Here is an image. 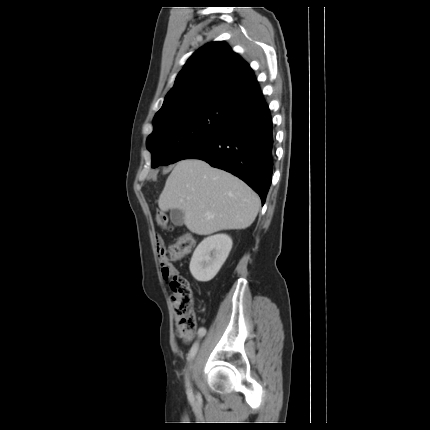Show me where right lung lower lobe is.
<instances>
[{"label":"right lung lower lobe","mask_w":430,"mask_h":430,"mask_svg":"<svg viewBox=\"0 0 430 430\" xmlns=\"http://www.w3.org/2000/svg\"><path fill=\"white\" fill-rule=\"evenodd\" d=\"M273 156V124L261 93L244 109L233 110L227 127L185 159H201L234 174L259 194L263 205L271 185Z\"/></svg>","instance_id":"obj_1"}]
</instances>
